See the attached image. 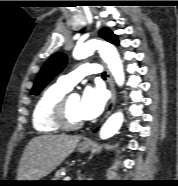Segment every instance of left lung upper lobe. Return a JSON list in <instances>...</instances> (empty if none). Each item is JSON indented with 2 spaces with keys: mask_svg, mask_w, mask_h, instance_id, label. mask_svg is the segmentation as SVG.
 Here are the masks:
<instances>
[{
  "mask_svg": "<svg viewBox=\"0 0 178 186\" xmlns=\"http://www.w3.org/2000/svg\"><path fill=\"white\" fill-rule=\"evenodd\" d=\"M99 35L112 44H119L117 36L108 28H102ZM67 63V55L61 52L53 54L43 65L32 88V94L38 95L42 89L58 75Z\"/></svg>",
  "mask_w": 178,
  "mask_h": 186,
  "instance_id": "5c2ea615",
  "label": "left lung upper lobe"
}]
</instances>
